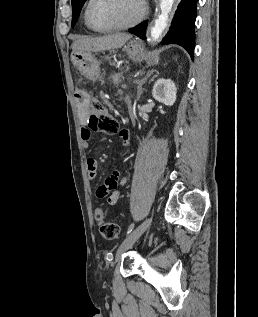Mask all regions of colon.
<instances>
[{"label":"colon","instance_id":"1","mask_svg":"<svg viewBox=\"0 0 258 317\" xmlns=\"http://www.w3.org/2000/svg\"><path fill=\"white\" fill-rule=\"evenodd\" d=\"M88 128L91 131L112 134L119 130V123L109 110L93 99L89 102ZM95 218L98 222L99 232L104 239L119 238L120 227L116 223L106 221L101 209L96 210Z\"/></svg>","mask_w":258,"mask_h":317}]
</instances>
